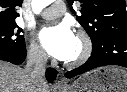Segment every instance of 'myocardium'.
Instances as JSON below:
<instances>
[{"label": "myocardium", "mask_w": 127, "mask_h": 92, "mask_svg": "<svg viewBox=\"0 0 127 92\" xmlns=\"http://www.w3.org/2000/svg\"><path fill=\"white\" fill-rule=\"evenodd\" d=\"M76 38L81 44L80 53L73 59L65 61V66L67 67H78L85 63L91 56L93 44L90 36L84 31H78Z\"/></svg>", "instance_id": "f54148a6"}]
</instances>
